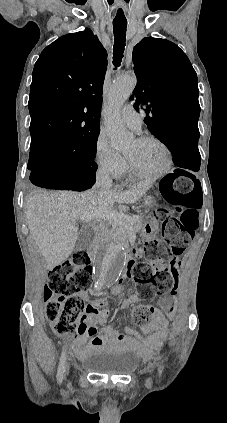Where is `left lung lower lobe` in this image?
<instances>
[{"mask_svg":"<svg viewBox=\"0 0 227 423\" xmlns=\"http://www.w3.org/2000/svg\"><path fill=\"white\" fill-rule=\"evenodd\" d=\"M199 131L188 132L180 136L167 137L162 142L168 147L173 155L174 164L178 167L198 171L200 169V153L198 150ZM182 175L195 180V177L184 171L177 169Z\"/></svg>","mask_w":227,"mask_h":423,"instance_id":"0a47b994","label":"left lung lower lobe"}]
</instances>
